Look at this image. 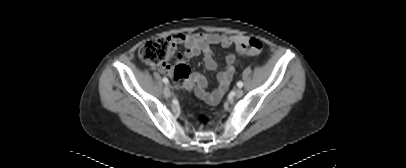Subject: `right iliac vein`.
I'll return each mask as SVG.
<instances>
[{
  "label": "right iliac vein",
  "instance_id": "63e3f726",
  "mask_svg": "<svg viewBox=\"0 0 406 168\" xmlns=\"http://www.w3.org/2000/svg\"><path fill=\"white\" fill-rule=\"evenodd\" d=\"M163 93H164V96H165L166 98H169V97L171 96L170 89H169V87H167V86L164 87Z\"/></svg>",
  "mask_w": 406,
  "mask_h": 168
}]
</instances>
